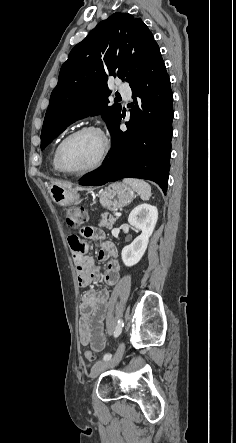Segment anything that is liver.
<instances>
[{"instance_id":"obj_1","label":"liver","mask_w":236,"mask_h":443,"mask_svg":"<svg viewBox=\"0 0 236 443\" xmlns=\"http://www.w3.org/2000/svg\"><path fill=\"white\" fill-rule=\"evenodd\" d=\"M53 184L58 185V186H62L68 189H71V185L70 184H66V183H62V182H53Z\"/></svg>"}]
</instances>
